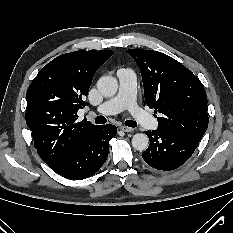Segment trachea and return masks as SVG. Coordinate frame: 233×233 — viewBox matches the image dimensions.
Returning <instances> with one entry per match:
<instances>
[{"label":"trachea","mask_w":233,"mask_h":233,"mask_svg":"<svg viewBox=\"0 0 233 233\" xmlns=\"http://www.w3.org/2000/svg\"><path fill=\"white\" fill-rule=\"evenodd\" d=\"M106 121H107V119L104 116H98L95 119L96 124H104V123H106ZM125 125L128 126V127H133V128L137 127L136 121H133V120L125 121Z\"/></svg>","instance_id":"trachea-1"}]
</instances>
